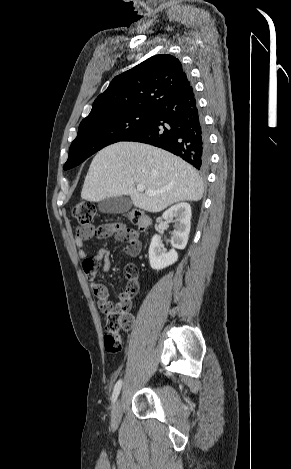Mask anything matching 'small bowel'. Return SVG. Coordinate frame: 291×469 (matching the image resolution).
<instances>
[{
	"label": "small bowel",
	"instance_id": "c3829d8e",
	"mask_svg": "<svg viewBox=\"0 0 291 469\" xmlns=\"http://www.w3.org/2000/svg\"><path fill=\"white\" fill-rule=\"evenodd\" d=\"M101 226L107 230L106 235L102 238H108L113 235H118L120 239L126 242L125 252L127 255L136 256L139 253L140 242L138 240V235L135 230L128 228L125 225L115 223H108ZM91 237V235H83L77 230L74 241L77 247V253L79 258L84 260V272L89 278V280L92 282V290L98 301V305L100 309L104 313H106V311L114 307L113 302L109 300L108 288L104 284L97 281V270L88 269L87 263L93 262L99 264L100 262H102L101 272H108L111 268L110 253L107 249L102 248L99 249L96 253L89 255L85 246V242Z\"/></svg>",
	"mask_w": 291,
	"mask_h": 469
}]
</instances>
